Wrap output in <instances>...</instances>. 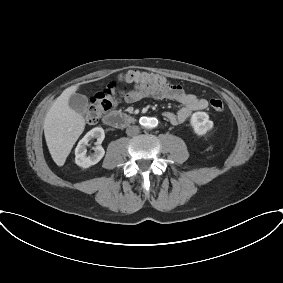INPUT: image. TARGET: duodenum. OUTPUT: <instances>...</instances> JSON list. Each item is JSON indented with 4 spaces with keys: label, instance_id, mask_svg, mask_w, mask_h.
Wrapping results in <instances>:
<instances>
[{
    "label": "duodenum",
    "instance_id": "1",
    "mask_svg": "<svg viewBox=\"0 0 283 283\" xmlns=\"http://www.w3.org/2000/svg\"><path fill=\"white\" fill-rule=\"evenodd\" d=\"M103 122L115 128H123L135 122V117L119 111H111L103 117Z\"/></svg>",
    "mask_w": 283,
    "mask_h": 283
}]
</instances>
